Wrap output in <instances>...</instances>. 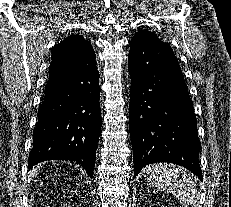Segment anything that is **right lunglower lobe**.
<instances>
[{"instance_id":"1","label":"right lung lower lobe","mask_w":231,"mask_h":207,"mask_svg":"<svg viewBox=\"0 0 231 207\" xmlns=\"http://www.w3.org/2000/svg\"><path fill=\"white\" fill-rule=\"evenodd\" d=\"M98 79L95 55L73 70L50 66L29 168L46 160H69L92 178L101 133Z\"/></svg>"}]
</instances>
